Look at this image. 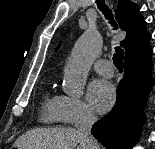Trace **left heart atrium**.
Returning a JSON list of instances; mask_svg holds the SVG:
<instances>
[{"label":"left heart atrium","instance_id":"obj_1","mask_svg":"<svg viewBox=\"0 0 155 149\" xmlns=\"http://www.w3.org/2000/svg\"><path fill=\"white\" fill-rule=\"evenodd\" d=\"M115 98V88L110 82L97 79L90 84L87 100L89 105L97 112H107L114 104Z\"/></svg>","mask_w":155,"mask_h":149}]
</instances>
